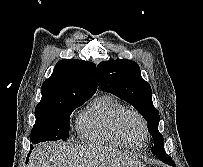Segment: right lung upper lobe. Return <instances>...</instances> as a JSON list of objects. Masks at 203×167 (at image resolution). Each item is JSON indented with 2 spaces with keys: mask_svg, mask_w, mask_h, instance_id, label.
Returning a JSON list of instances; mask_svg holds the SVG:
<instances>
[{
  "mask_svg": "<svg viewBox=\"0 0 203 167\" xmlns=\"http://www.w3.org/2000/svg\"><path fill=\"white\" fill-rule=\"evenodd\" d=\"M97 90L96 65L92 62L64 59L57 62L42 85V98L36 108L52 107L76 98H91Z\"/></svg>",
  "mask_w": 203,
  "mask_h": 167,
  "instance_id": "1",
  "label": "right lung upper lobe"
}]
</instances>
